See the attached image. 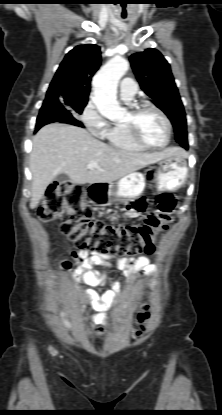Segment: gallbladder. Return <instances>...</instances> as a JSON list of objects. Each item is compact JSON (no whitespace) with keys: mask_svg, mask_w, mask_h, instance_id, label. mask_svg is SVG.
<instances>
[{"mask_svg":"<svg viewBox=\"0 0 222 415\" xmlns=\"http://www.w3.org/2000/svg\"><path fill=\"white\" fill-rule=\"evenodd\" d=\"M56 181L59 182V183H65V182H69L70 179L66 174H59L56 177Z\"/></svg>","mask_w":222,"mask_h":415,"instance_id":"gallbladder-1","label":"gallbladder"}]
</instances>
